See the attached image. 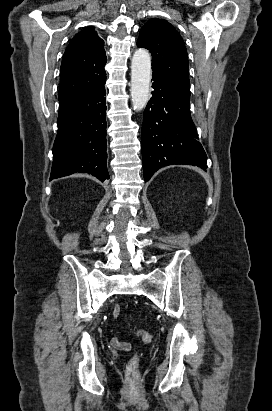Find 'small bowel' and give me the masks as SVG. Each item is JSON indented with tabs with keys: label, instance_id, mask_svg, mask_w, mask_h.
Returning a JSON list of instances; mask_svg holds the SVG:
<instances>
[{
	"label": "small bowel",
	"instance_id": "1",
	"mask_svg": "<svg viewBox=\"0 0 272 411\" xmlns=\"http://www.w3.org/2000/svg\"><path fill=\"white\" fill-rule=\"evenodd\" d=\"M120 314V307L118 305L113 308V317L117 318ZM110 346L115 350L129 351L131 345L128 342L120 341L117 337H113L110 341Z\"/></svg>",
	"mask_w": 272,
	"mask_h": 411
}]
</instances>
